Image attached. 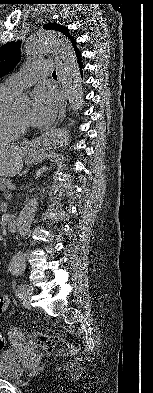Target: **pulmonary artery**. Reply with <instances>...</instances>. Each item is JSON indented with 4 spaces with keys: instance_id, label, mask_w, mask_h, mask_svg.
<instances>
[{
    "instance_id": "pulmonary-artery-1",
    "label": "pulmonary artery",
    "mask_w": 153,
    "mask_h": 393,
    "mask_svg": "<svg viewBox=\"0 0 153 393\" xmlns=\"http://www.w3.org/2000/svg\"><path fill=\"white\" fill-rule=\"evenodd\" d=\"M54 64L51 61L41 60L28 65L21 73L10 76L4 86L18 93L38 80L43 74L51 72Z\"/></svg>"
}]
</instances>
